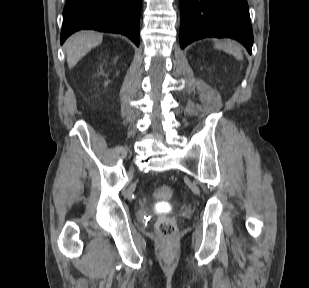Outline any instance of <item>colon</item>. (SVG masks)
Here are the masks:
<instances>
[{
	"label": "colon",
	"mask_w": 309,
	"mask_h": 288,
	"mask_svg": "<svg viewBox=\"0 0 309 288\" xmlns=\"http://www.w3.org/2000/svg\"><path fill=\"white\" fill-rule=\"evenodd\" d=\"M172 193L173 191L169 186L163 185L156 189L154 196L158 200H167L172 196ZM176 231L177 227L175 221L172 218H163L157 225V233L163 239L174 237Z\"/></svg>",
	"instance_id": "1"
}]
</instances>
